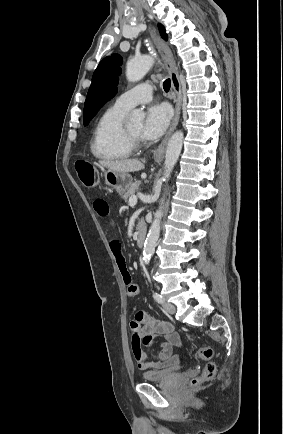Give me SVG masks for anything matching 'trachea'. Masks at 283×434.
<instances>
[{"label": "trachea", "mask_w": 283, "mask_h": 434, "mask_svg": "<svg viewBox=\"0 0 283 434\" xmlns=\"http://www.w3.org/2000/svg\"><path fill=\"white\" fill-rule=\"evenodd\" d=\"M170 86H171V81H170V79L168 78V79H166V80L163 82V89H164V91H165V92H168V91L170 90Z\"/></svg>", "instance_id": "3493384b"}]
</instances>
